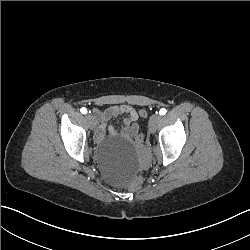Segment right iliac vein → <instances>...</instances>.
<instances>
[{"label": "right iliac vein", "mask_w": 250, "mask_h": 250, "mask_svg": "<svg viewBox=\"0 0 250 250\" xmlns=\"http://www.w3.org/2000/svg\"><path fill=\"white\" fill-rule=\"evenodd\" d=\"M86 120L88 121V124L90 126L91 129H94L96 126V119L92 114H86L85 116Z\"/></svg>", "instance_id": "63e3f726"}]
</instances>
